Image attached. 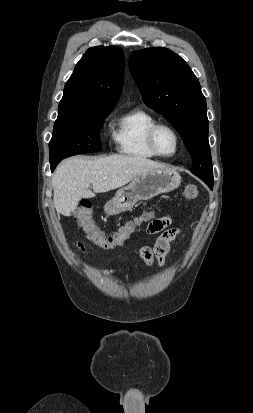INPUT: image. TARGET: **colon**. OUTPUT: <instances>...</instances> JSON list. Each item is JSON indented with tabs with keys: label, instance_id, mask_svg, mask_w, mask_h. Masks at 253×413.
<instances>
[{
	"label": "colon",
	"instance_id": "obj_1",
	"mask_svg": "<svg viewBox=\"0 0 253 413\" xmlns=\"http://www.w3.org/2000/svg\"><path fill=\"white\" fill-rule=\"evenodd\" d=\"M199 195V187L196 184H188L184 190L187 199H196ZM74 216L78 225L84 230L87 239L94 245L111 250L122 246L137 230L141 218L135 221H128L122 225L112 235L107 236L94 222L92 217V206L89 203H81L74 210Z\"/></svg>",
	"mask_w": 253,
	"mask_h": 413
}]
</instances>
